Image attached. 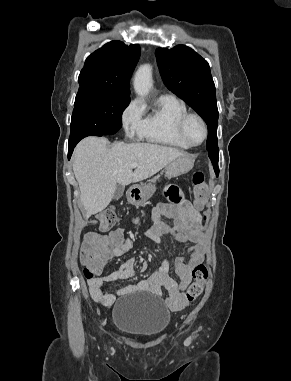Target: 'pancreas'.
I'll return each mask as SVG.
<instances>
[{
  "label": "pancreas",
  "mask_w": 291,
  "mask_h": 381,
  "mask_svg": "<svg viewBox=\"0 0 291 381\" xmlns=\"http://www.w3.org/2000/svg\"><path fill=\"white\" fill-rule=\"evenodd\" d=\"M158 179H159V177H155L152 181L156 182V180H158Z\"/></svg>",
  "instance_id": "pancreas-1"
}]
</instances>
